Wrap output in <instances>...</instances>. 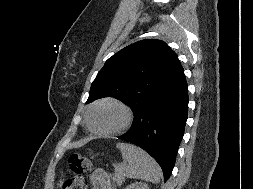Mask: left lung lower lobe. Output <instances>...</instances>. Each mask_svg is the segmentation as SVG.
Listing matches in <instances>:
<instances>
[{
  "instance_id": "obj_1",
  "label": "left lung lower lobe",
  "mask_w": 253,
  "mask_h": 189,
  "mask_svg": "<svg viewBox=\"0 0 253 189\" xmlns=\"http://www.w3.org/2000/svg\"><path fill=\"white\" fill-rule=\"evenodd\" d=\"M188 116V89L184 70L177 79L135 115L131 128L119 139L147 151L170 177Z\"/></svg>"
}]
</instances>
